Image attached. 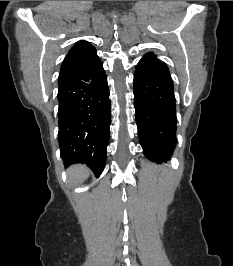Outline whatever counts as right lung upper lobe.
I'll return each mask as SVG.
<instances>
[{
  "mask_svg": "<svg viewBox=\"0 0 233 266\" xmlns=\"http://www.w3.org/2000/svg\"><path fill=\"white\" fill-rule=\"evenodd\" d=\"M95 48L87 41H78L65 57L59 79L84 66L96 56Z\"/></svg>",
  "mask_w": 233,
  "mask_h": 266,
  "instance_id": "1",
  "label": "right lung upper lobe"
}]
</instances>
